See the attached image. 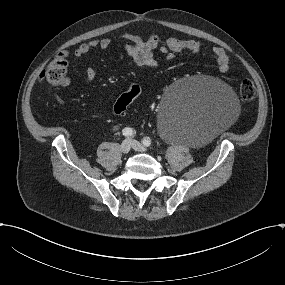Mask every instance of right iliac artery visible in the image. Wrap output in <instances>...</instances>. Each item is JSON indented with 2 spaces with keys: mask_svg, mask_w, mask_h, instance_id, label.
Masks as SVG:
<instances>
[{
  "mask_svg": "<svg viewBox=\"0 0 285 285\" xmlns=\"http://www.w3.org/2000/svg\"><path fill=\"white\" fill-rule=\"evenodd\" d=\"M122 133L125 137H128V138L133 137L136 134L135 130H133L132 128H124L122 130Z\"/></svg>",
  "mask_w": 285,
  "mask_h": 285,
  "instance_id": "82829eb1",
  "label": "right iliac artery"
}]
</instances>
